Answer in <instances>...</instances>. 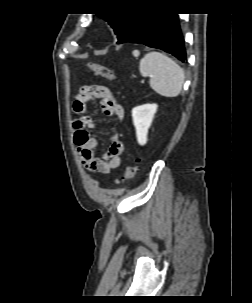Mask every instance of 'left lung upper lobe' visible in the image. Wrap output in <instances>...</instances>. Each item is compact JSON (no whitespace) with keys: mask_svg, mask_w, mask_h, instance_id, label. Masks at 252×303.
Returning <instances> with one entry per match:
<instances>
[{"mask_svg":"<svg viewBox=\"0 0 252 303\" xmlns=\"http://www.w3.org/2000/svg\"><path fill=\"white\" fill-rule=\"evenodd\" d=\"M144 12L135 13H111L99 15L105 19L117 35L118 41L130 33L145 15Z\"/></svg>","mask_w":252,"mask_h":303,"instance_id":"5c2ea615","label":"left lung upper lobe"}]
</instances>
